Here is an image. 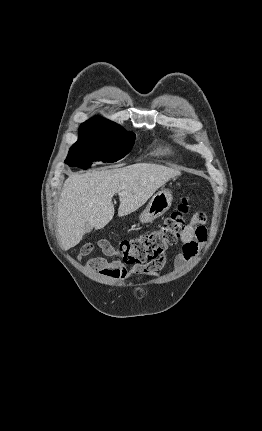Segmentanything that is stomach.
<instances>
[{"mask_svg":"<svg viewBox=\"0 0 262 431\" xmlns=\"http://www.w3.org/2000/svg\"><path fill=\"white\" fill-rule=\"evenodd\" d=\"M172 193L168 189L158 191L150 200L139 218L142 223H151L162 216L172 204Z\"/></svg>","mask_w":262,"mask_h":431,"instance_id":"stomach-1","label":"stomach"}]
</instances>
